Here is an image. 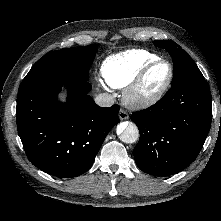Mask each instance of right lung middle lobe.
<instances>
[{"instance_id":"right-lung-middle-lobe-1","label":"right lung middle lobe","mask_w":221,"mask_h":221,"mask_svg":"<svg viewBox=\"0 0 221 221\" xmlns=\"http://www.w3.org/2000/svg\"><path fill=\"white\" fill-rule=\"evenodd\" d=\"M97 45L52 51L44 55L23 79L19 90L51 82L87 80Z\"/></svg>"}]
</instances>
